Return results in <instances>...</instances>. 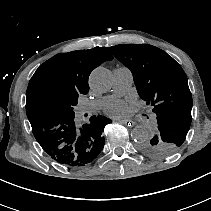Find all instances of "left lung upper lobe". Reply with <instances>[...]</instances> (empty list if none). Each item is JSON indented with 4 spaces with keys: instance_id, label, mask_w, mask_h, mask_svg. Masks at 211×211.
<instances>
[{
    "instance_id": "5c2ea615",
    "label": "left lung upper lobe",
    "mask_w": 211,
    "mask_h": 211,
    "mask_svg": "<svg viewBox=\"0 0 211 211\" xmlns=\"http://www.w3.org/2000/svg\"><path fill=\"white\" fill-rule=\"evenodd\" d=\"M128 67L139 96L153 107L157 134L141 145L150 156L175 153L184 143L191 125L192 95L181 66L166 52L148 44L108 48Z\"/></svg>"
}]
</instances>
